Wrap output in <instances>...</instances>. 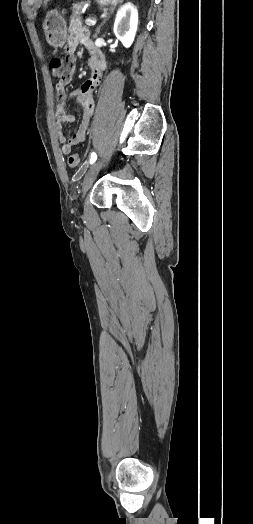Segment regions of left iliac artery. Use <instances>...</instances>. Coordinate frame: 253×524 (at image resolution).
<instances>
[{
    "mask_svg": "<svg viewBox=\"0 0 253 524\" xmlns=\"http://www.w3.org/2000/svg\"><path fill=\"white\" fill-rule=\"evenodd\" d=\"M97 159V155L95 153H92L91 154V158H90V164H93Z\"/></svg>",
    "mask_w": 253,
    "mask_h": 524,
    "instance_id": "obj_1",
    "label": "left iliac artery"
}]
</instances>
